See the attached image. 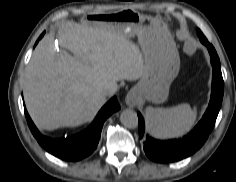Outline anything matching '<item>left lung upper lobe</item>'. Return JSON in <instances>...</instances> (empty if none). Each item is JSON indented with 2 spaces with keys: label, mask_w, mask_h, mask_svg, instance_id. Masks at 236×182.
<instances>
[{
  "label": "left lung upper lobe",
  "mask_w": 236,
  "mask_h": 182,
  "mask_svg": "<svg viewBox=\"0 0 236 182\" xmlns=\"http://www.w3.org/2000/svg\"><path fill=\"white\" fill-rule=\"evenodd\" d=\"M197 33H198V37L200 38V41L208 47L209 53L211 55L212 65L220 67V60L214 47L208 43L206 37L203 35V33L199 29H197Z\"/></svg>",
  "instance_id": "left-lung-upper-lobe-1"
}]
</instances>
